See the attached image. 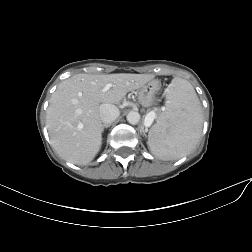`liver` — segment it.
Here are the masks:
<instances>
[{
	"label": "liver",
	"instance_id": "liver-1",
	"mask_svg": "<svg viewBox=\"0 0 252 252\" xmlns=\"http://www.w3.org/2000/svg\"><path fill=\"white\" fill-rule=\"evenodd\" d=\"M152 78L147 74H77L63 81L51 96L46 116L54 150L70 163H90L102 144L100 104H120L128 92ZM108 84L112 86L104 92Z\"/></svg>",
	"mask_w": 252,
	"mask_h": 252
}]
</instances>
